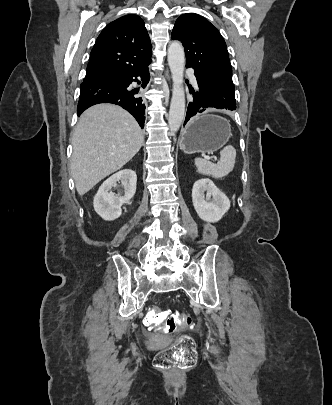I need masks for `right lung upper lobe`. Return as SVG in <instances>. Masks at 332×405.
<instances>
[{
	"label": "right lung upper lobe",
	"mask_w": 332,
	"mask_h": 405,
	"mask_svg": "<svg viewBox=\"0 0 332 405\" xmlns=\"http://www.w3.org/2000/svg\"><path fill=\"white\" fill-rule=\"evenodd\" d=\"M152 45L143 20L133 14L109 23L90 53L84 80L133 71L151 61Z\"/></svg>",
	"instance_id": "obj_1"
}]
</instances>
